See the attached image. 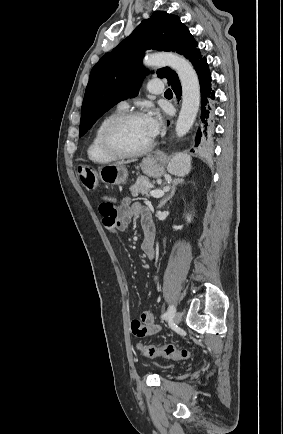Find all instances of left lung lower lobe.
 <instances>
[{
    "label": "left lung lower lobe",
    "instance_id": "obj_1",
    "mask_svg": "<svg viewBox=\"0 0 283 434\" xmlns=\"http://www.w3.org/2000/svg\"><path fill=\"white\" fill-rule=\"evenodd\" d=\"M194 69L199 78L201 92L200 123L195 143L196 146L200 144L206 147L211 144L214 133L215 91L206 58H203ZM170 86L179 99L182 94L180 81H175Z\"/></svg>",
    "mask_w": 283,
    "mask_h": 434
}]
</instances>
